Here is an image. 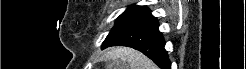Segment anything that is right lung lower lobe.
<instances>
[{"label":"right lung lower lobe","instance_id":"1","mask_svg":"<svg viewBox=\"0 0 246 69\" xmlns=\"http://www.w3.org/2000/svg\"><path fill=\"white\" fill-rule=\"evenodd\" d=\"M157 19L147 13L143 21L117 37L109 46H127L135 48L149 57L161 69H171L165 41L158 30Z\"/></svg>","mask_w":246,"mask_h":69}]
</instances>
